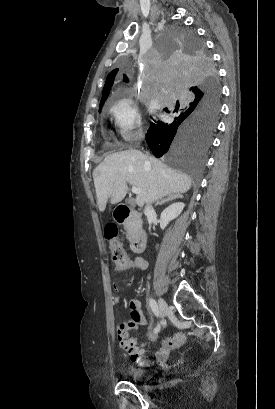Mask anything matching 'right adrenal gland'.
Listing matches in <instances>:
<instances>
[{"label":"right adrenal gland","mask_w":275,"mask_h":409,"mask_svg":"<svg viewBox=\"0 0 275 409\" xmlns=\"http://www.w3.org/2000/svg\"><path fill=\"white\" fill-rule=\"evenodd\" d=\"M174 198H183V194H168L166 198H161V200H158V202H156L155 207H157V205H165V202H169V200H174Z\"/></svg>","instance_id":"2a0ac1e0"}]
</instances>
